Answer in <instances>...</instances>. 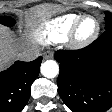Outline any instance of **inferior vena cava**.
Segmentation results:
<instances>
[{
  "label": "inferior vena cava",
  "mask_w": 112,
  "mask_h": 112,
  "mask_svg": "<svg viewBox=\"0 0 112 112\" xmlns=\"http://www.w3.org/2000/svg\"><path fill=\"white\" fill-rule=\"evenodd\" d=\"M39 55V49L36 47H29L19 53V58L23 61H33L37 59Z\"/></svg>",
  "instance_id": "1"
}]
</instances>
